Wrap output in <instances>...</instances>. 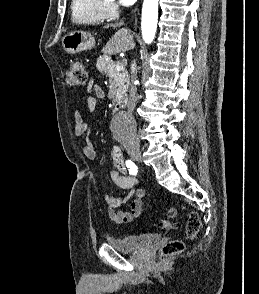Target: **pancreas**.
Listing matches in <instances>:
<instances>
[{
    "mask_svg": "<svg viewBox=\"0 0 259 294\" xmlns=\"http://www.w3.org/2000/svg\"><path fill=\"white\" fill-rule=\"evenodd\" d=\"M115 66L116 64L111 61L109 56L106 55L100 56L96 63L97 69L116 83L117 90L115 100L118 105H122L124 103L123 97L129 86V75L126 69L117 71Z\"/></svg>",
    "mask_w": 259,
    "mask_h": 294,
    "instance_id": "pancreas-1",
    "label": "pancreas"
}]
</instances>
